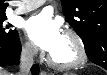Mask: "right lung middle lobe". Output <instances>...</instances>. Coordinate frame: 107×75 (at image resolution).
Listing matches in <instances>:
<instances>
[{
    "label": "right lung middle lobe",
    "mask_w": 107,
    "mask_h": 75,
    "mask_svg": "<svg viewBox=\"0 0 107 75\" xmlns=\"http://www.w3.org/2000/svg\"><path fill=\"white\" fill-rule=\"evenodd\" d=\"M6 15H0V43L9 42L13 40L17 35V31L11 29V24H6Z\"/></svg>",
    "instance_id": "dd1d6c3e"
}]
</instances>
